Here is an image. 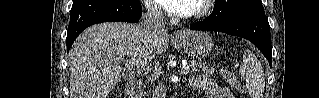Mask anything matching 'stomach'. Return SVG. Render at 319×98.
<instances>
[{
    "label": "stomach",
    "instance_id": "stomach-1",
    "mask_svg": "<svg viewBox=\"0 0 319 98\" xmlns=\"http://www.w3.org/2000/svg\"><path fill=\"white\" fill-rule=\"evenodd\" d=\"M184 52L193 58H205L213 48L211 37L205 32L187 31L179 40Z\"/></svg>",
    "mask_w": 319,
    "mask_h": 98
}]
</instances>
